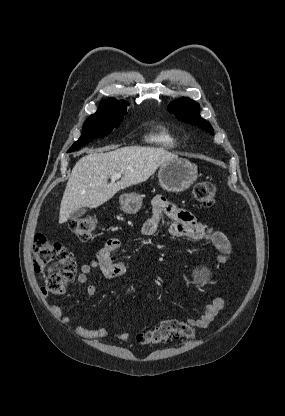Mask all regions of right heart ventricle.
<instances>
[{
  "instance_id": "obj_1",
  "label": "right heart ventricle",
  "mask_w": 285,
  "mask_h": 416,
  "mask_svg": "<svg viewBox=\"0 0 285 416\" xmlns=\"http://www.w3.org/2000/svg\"><path fill=\"white\" fill-rule=\"evenodd\" d=\"M147 140L161 148H174L180 140L172 131L165 126H158L147 137Z\"/></svg>"
}]
</instances>
